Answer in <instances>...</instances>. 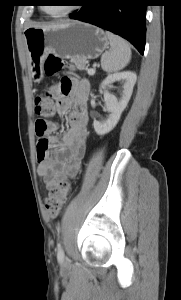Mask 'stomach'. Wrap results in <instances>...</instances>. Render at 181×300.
<instances>
[{
    "instance_id": "stomach-1",
    "label": "stomach",
    "mask_w": 181,
    "mask_h": 300,
    "mask_svg": "<svg viewBox=\"0 0 181 300\" xmlns=\"http://www.w3.org/2000/svg\"><path fill=\"white\" fill-rule=\"evenodd\" d=\"M32 78H43V63L48 54L86 63L107 47L106 33L91 24L72 21L50 28L31 27L24 31Z\"/></svg>"
}]
</instances>
